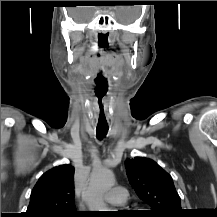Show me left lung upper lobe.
<instances>
[{"label":"left lung upper lobe","mask_w":217,"mask_h":217,"mask_svg":"<svg viewBox=\"0 0 217 217\" xmlns=\"http://www.w3.org/2000/svg\"><path fill=\"white\" fill-rule=\"evenodd\" d=\"M125 168L137 195L153 210L151 217H182L181 200L172 177L156 162L143 157L127 159Z\"/></svg>","instance_id":"left-lung-upper-lobe-1"}]
</instances>
